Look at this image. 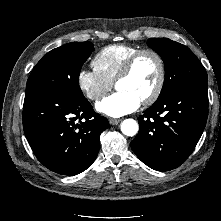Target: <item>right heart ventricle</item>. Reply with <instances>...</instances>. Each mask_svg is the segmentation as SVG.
<instances>
[{"instance_id": "e07e8e85", "label": "right heart ventricle", "mask_w": 221, "mask_h": 221, "mask_svg": "<svg viewBox=\"0 0 221 221\" xmlns=\"http://www.w3.org/2000/svg\"><path fill=\"white\" fill-rule=\"evenodd\" d=\"M140 47L130 44H113L102 48L94 57V69L114 83L126 60Z\"/></svg>"}]
</instances>
